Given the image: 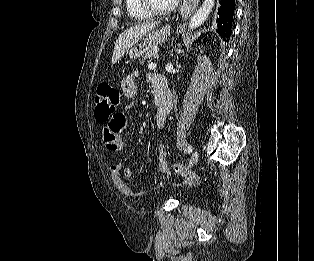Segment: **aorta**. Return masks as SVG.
Returning a JSON list of instances; mask_svg holds the SVG:
<instances>
[{
  "mask_svg": "<svg viewBox=\"0 0 314 261\" xmlns=\"http://www.w3.org/2000/svg\"><path fill=\"white\" fill-rule=\"evenodd\" d=\"M215 0H204L201 7L193 14L189 21L188 29L193 30L204 23L207 17L210 15L212 8L214 7Z\"/></svg>",
  "mask_w": 314,
  "mask_h": 261,
  "instance_id": "obj_1",
  "label": "aorta"
}]
</instances>
